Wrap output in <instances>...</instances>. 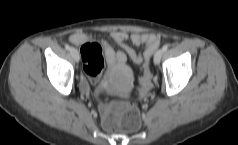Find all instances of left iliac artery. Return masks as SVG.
Listing matches in <instances>:
<instances>
[{"instance_id":"obj_1","label":"left iliac artery","mask_w":238,"mask_h":145,"mask_svg":"<svg viewBox=\"0 0 238 145\" xmlns=\"http://www.w3.org/2000/svg\"><path fill=\"white\" fill-rule=\"evenodd\" d=\"M167 49H168V45L165 44V45L162 47V51L165 52V51H167Z\"/></svg>"}]
</instances>
